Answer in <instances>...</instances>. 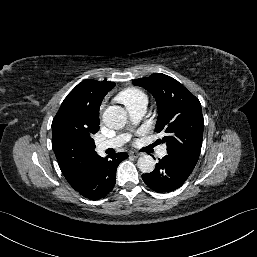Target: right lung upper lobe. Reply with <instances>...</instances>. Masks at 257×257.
<instances>
[{"label":"right lung upper lobe","instance_id":"obj_1","mask_svg":"<svg viewBox=\"0 0 257 257\" xmlns=\"http://www.w3.org/2000/svg\"><path fill=\"white\" fill-rule=\"evenodd\" d=\"M113 82L79 83L64 99L52 122V147L68 183L76 188L99 156L92 136L99 130V108Z\"/></svg>","mask_w":257,"mask_h":257}]
</instances>
